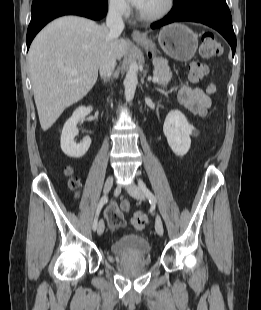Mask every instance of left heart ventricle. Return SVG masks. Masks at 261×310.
Wrapping results in <instances>:
<instances>
[{
  "mask_svg": "<svg viewBox=\"0 0 261 310\" xmlns=\"http://www.w3.org/2000/svg\"><path fill=\"white\" fill-rule=\"evenodd\" d=\"M164 2L165 0H146L139 10L146 14L154 13L163 7Z\"/></svg>",
  "mask_w": 261,
  "mask_h": 310,
  "instance_id": "left-heart-ventricle-1",
  "label": "left heart ventricle"
}]
</instances>
